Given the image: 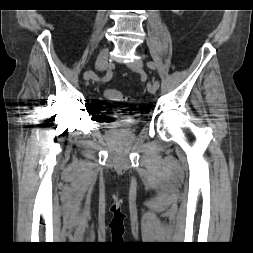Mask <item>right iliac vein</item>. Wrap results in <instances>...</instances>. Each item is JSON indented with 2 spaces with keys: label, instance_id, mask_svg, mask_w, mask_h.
<instances>
[{
  "label": "right iliac vein",
  "instance_id": "63e3f726",
  "mask_svg": "<svg viewBox=\"0 0 253 253\" xmlns=\"http://www.w3.org/2000/svg\"><path fill=\"white\" fill-rule=\"evenodd\" d=\"M108 53H109V49L108 47H104L98 57H97V60H96V69L99 70V71H103L106 69V66H107V58H108ZM91 78V73L90 72H86L84 74V79L85 80H88Z\"/></svg>",
  "mask_w": 253,
  "mask_h": 253
}]
</instances>
